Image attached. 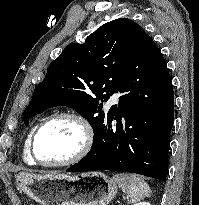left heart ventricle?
<instances>
[{"instance_id":"b2bd125f","label":"left heart ventricle","mask_w":199,"mask_h":205,"mask_svg":"<svg viewBox=\"0 0 199 205\" xmlns=\"http://www.w3.org/2000/svg\"><path fill=\"white\" fill-rule=\"evenodd\" d=\"M82 130L73 120L61 119L46 126L36 139V155L44 162H58L76 153Z\"/></svg>"}]
</instances>
